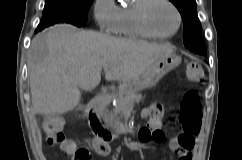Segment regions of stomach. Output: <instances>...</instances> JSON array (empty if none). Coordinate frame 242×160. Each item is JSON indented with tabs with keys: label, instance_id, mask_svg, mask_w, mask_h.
<instances>
[{
	"label": "stomach",
	"instance_id": "1",
	"mask_svg": "<svg viewBox=\"0 0 242 160\" xmlns=\"http://www.w3.org/2000/svg\"><path fill=\"white\" fill-rule=\"evenodd\" d=\"M181 63V57L172 54L155 61L138 78L120 83L119 90L123 95L137 93L144 89L154 87L160 79L169 71L175 69Z\"/></svg>",
	"mask_w": 242,
	"mask_h": 160
}]
</instances>
